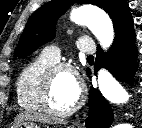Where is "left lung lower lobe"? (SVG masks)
I'll return each instance as SVG.
<instances>
[{
	"label": "left lung lower lobe",
	"instance_id": "left-lung-lower-lobe-1",
	"mask_svg": "<svg viewBox=\"0 0 142 128\" xmlns=\"http://www.w3.org/2000/svg\"><path fill=\"white\" fill-rule=\"evenodd\" d=\"M134 22L122 29L107 54H103L98 46L95 61V74L105 66L118 80L131 83L132 76L137 69L138 51L135 46ZM89 115L85 120L87 128H110L113 113L106 99L95 89L89 94Z\"/></svg>",
	"mask_w": 142,
	"mask_h": 128
}]
</instances>
